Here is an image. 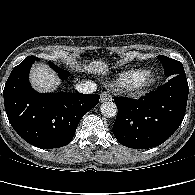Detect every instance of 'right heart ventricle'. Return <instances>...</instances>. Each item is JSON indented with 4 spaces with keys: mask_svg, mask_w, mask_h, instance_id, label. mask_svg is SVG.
I'll return each mask as SVG.
<instances>
[{
    "mask_svg": "<svg viewBox=\"0 0 195 195\" xmlns=\"http://www.w3.org/2000/svg\"><path fill=\"white\" fill-rule=\"evenodd\" d=\"M146 72L142 69H132L120 73L117 77V85L124 89H133L138 79Z\"/></svg>",
    "mask_w": 195,
    "mask_h": 195,
    "instance_id": "right-heart-ventricle-1",
    "label": "right heart ventricle"
}]
</instances>
